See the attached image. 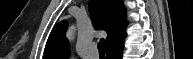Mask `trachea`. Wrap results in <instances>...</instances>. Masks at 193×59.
<instances>
[{
	"instance_id": "obj_1",
	"label": "trachea",
	"mask_w": 193,
	"mask_h": 59,
	"mask_svg": "<svg viewBox=\"0 0 193 59\" xmlns=\"http://www.w3.org/2000/svg\"><path fill=\"white\" fill-rule=\"evenodd\" d=\"M97 47H98L99 55H105L106 44L104 39H101L98 42Z\"/></svg>"
}]
</instances>
